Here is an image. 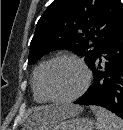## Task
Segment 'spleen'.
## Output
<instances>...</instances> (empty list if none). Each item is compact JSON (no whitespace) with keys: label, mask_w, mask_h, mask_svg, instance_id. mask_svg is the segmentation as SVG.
Masks as SVG:
<instances>
[{"label":"spleen","mask_w":123,"mask_h":130,"mask_svg":"<svg viewBox=\"0 0 123 130\" xmlns=\"http://www.w3.org/2000/svg\"><path fill=\"white\" fill-rule=\"evenodd\" d=\"M96 116L97 130H123V120L105 108L90 107Z\"/></svg>","instance_id":"spleen-1"}]
</instances>
